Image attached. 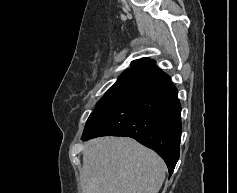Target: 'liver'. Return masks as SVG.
I'll return each mask as SVG.
<instances>
[{"mask_svg":"<svg viewBox=\"0 0 237 193\" xmlns=\"http://www.w3.org/2000/svg\"><path fill=\"white\" fill-rule=\"evenodd\" d=\"M166 169L153 150L132 138H96L83 149V193H158Z\"/></svg>","mask_w":237,"mask_h":193,"instance_id":"obj_1","label":"liver"}]
</instances>
